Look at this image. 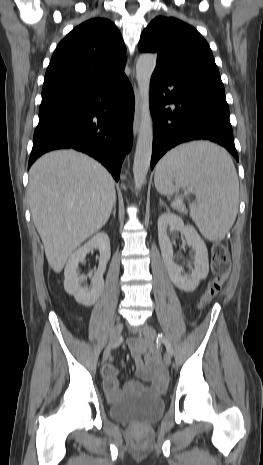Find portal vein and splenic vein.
<instances>
[{"label":"portal vein and splenic vein","instance_id":"obj_1","mask_svg":"<svg viewBox=\"0 0 263 465\" xmlns=\"http://www.w3.org/2000/svg\"><path fill=\"white\" fill-rule=\"evenodd\" d=\"M188 192H190V189L186 190L185 194H187ZM178 203H182V200L172 202V207L175 208Z\"/></svg>","mask_w":263,"mask_h":465}]
</instances>
